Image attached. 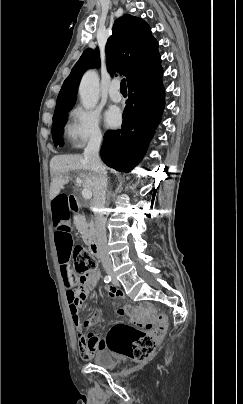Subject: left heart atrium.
<instances>
[{
  "label": "left heart atrium",
  "instance_id": "left-heart-atrium-1",
  "mask_svg": "<svg viewBox=\"0 0 243 404\" xmlns=\"http://www.w3.org/2000/svg\"><path fill=\"white\" fill-rule=\"evenodd\" d=\"M121 121V114L118 108H109L104 114V123L108 128H115Z\"/></svg>",
  "mask_w": 243,
  "mask_h": 404
}]
</instances>
